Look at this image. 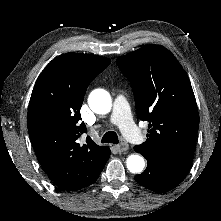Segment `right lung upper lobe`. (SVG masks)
<instances>
[{"mask_svg": "<svg viewBox=\"0 0 221 221\" xmlns=\"http://www.w3.org/2000/svg\"><path fill=\"white\" fill-rule=\"evenodd\" d=\"M110 59L92 54L67 53L52 60L38 77L28 110V131L35 154L53 182L65 190L94 183L110 157L80 123V108L88 85Z\"/></svg>", "mask_w": 221, "mask_h": 221, "instance_id": "right-lung-upper-lobe-1", "label": "right lung upper lobe"}]
</instances>
